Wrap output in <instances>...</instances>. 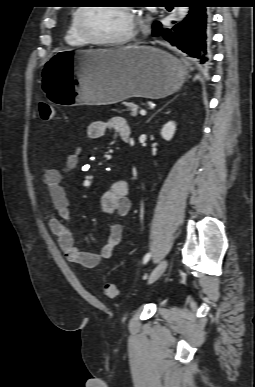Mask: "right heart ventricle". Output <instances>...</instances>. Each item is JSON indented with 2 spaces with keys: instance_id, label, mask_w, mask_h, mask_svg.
I'll use <instances>...</instances> for the list:
<instances>
[{
  "instance_id": "e07e8e85",
  "label": "right heart ventricle",
  "mask_w": 255,
  "mask_h": 387,
  "mask_svg": "<svg viewBox=\"0 0 255 387\" xmlns=\"http://www.w3.org/2000/svg\"><path fill=\"white\" fill-rule=\"evenodd\" d=\"M77 9L73 11L70 17L69 25L67 27L65 33V41L67 44L75 47H82L87 45L88 43L79 35L75 25V17L77 13Z\"/></svg>"
}]
</instances>
